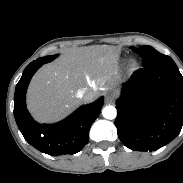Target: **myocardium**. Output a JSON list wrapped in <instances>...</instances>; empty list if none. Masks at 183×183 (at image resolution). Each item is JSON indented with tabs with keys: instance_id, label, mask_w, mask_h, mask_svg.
<instances>
[{
	"instance_id": "myocardium-1",
	"label": "myocardium",
	"mask_w": 183,
	"mask_h": 183,
	"mask_svg": "<svg viewBox=\"0 0 183 183\" xmlns=\"http://www.w3.org/2000/svg\"><path fill=\"white\" fill-rule=\"evenodd\" d=\"M131 66H132L133 68H136V67H137V62H136V61H133L132 64H131Z\"/></svg>"
}]
</instances>
